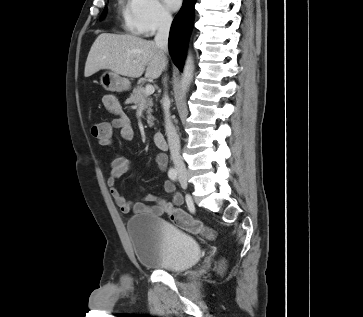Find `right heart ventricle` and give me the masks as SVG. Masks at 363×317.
Returning a JSON list of instances; mask_svg holds the SVG:
<instances>
[{
    "instance_id": "e07e8e85",
    "label": "right heart ventricle",
    "mask_w": 363,
    "mask_h": 317,
    "mask_svg": "<svg viewBox=\"0 0 363 317\" xmlns=\"http://www.w3.org/2000/svg\"><path fill=\"white\" fill-rule=\"evenodd\" d=\"M129 5H130V2H125V0H121V4L119 6V13L123 19L125 27L129 30H132Z\"/></svg>"
}]
</instances>
